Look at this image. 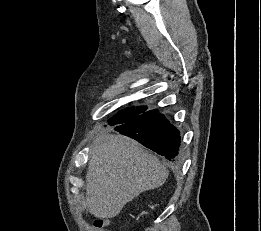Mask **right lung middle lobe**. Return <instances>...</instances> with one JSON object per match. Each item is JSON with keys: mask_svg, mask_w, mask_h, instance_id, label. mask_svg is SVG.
<instances>
[{"mask_svg": "<svg viewBox=\"0 0 261 231\" xmlns=\"http://www.w3.org/2000/svg\"><path fill=\"white\" fill-rule=\"evenodd\" d=\"M146 107H137L135 108H127L121 112H119L117 115H115L112 119H110L109 124L111 126L116 124H123L127 121L132 120L133 118L143 114L146 112Z\"/></svg>", "mask_w": 261, "mask_h": 231, "instance_id": "1", "label": "right lung middle lobe"}]
</instances>
